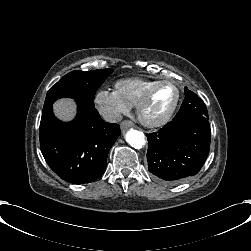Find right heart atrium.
Returning <instances> with one entry per match:
<instances>
[{
	"mask_svg": "<svg viewBox=\"0 0 251 251\" xmlns=\"http://www.w3.org/2000/svg\"><path fill=\"white\" fill-rule=\"evenodd\" d=\"M93 103L98 113L108 122L115 123L131 106L124 102L115 91L100 89L93 96Z\"/></svg>",
	"mask_w": 251,
	"mask_h": 251,
	"instance_id": "obj_1",
	"label": "right heart atrium"
}]
</instances>
